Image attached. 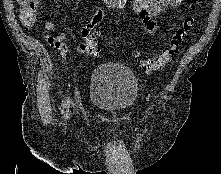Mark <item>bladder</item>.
Here are the masks:
<instances>
[{
    "label": "bladder",
    "instance_id": "bladder-1",
    "mask_svg": "<svg viewBox=\"0 0 221 174\" xmlns=\"http://www.w3.org/2000/svg\"><path fill=\"white\" fill-rule=\"evenodd\" d=\"M138 95L137 78L128 67L104 63L93 71L89 99L95 106L109 112L125 111L135 104Z\"/></svg>",
    "mask_w": 221,
    "mask_h": 174
}]
</instances>
